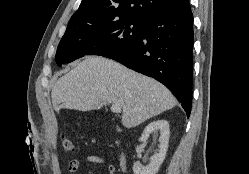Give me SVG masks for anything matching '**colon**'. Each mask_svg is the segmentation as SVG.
<instances>
[{"instance_id":"5ec220e1","label":"colon","mask_w":249,"mask_h":174,"mask_svg":"<svg viewBox=\"0 0 249 174\" xmlns=\"http://www.w3.org/2000/svg\"><path fill=\"white\" fill-rule=\"evenodd\" d=\"M60 140H61L62 148L66 152H74L75 145H74L73 139L69 135L62 134L60 137Z\"/></svg>"}]
</instances>
